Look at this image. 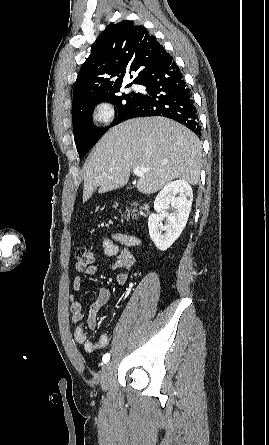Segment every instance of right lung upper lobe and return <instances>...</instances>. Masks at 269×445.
<instances>
[{
	"instance_id": "cb5924a9",
	"label": "right lung upper lobe",
	"mask_w": 269,
	"mask_h": 445,
	"mask_svg": "<svg viewBox=\"0 0 269 445\" xmlns=\"http://www.w3.org/2000/svg\"><path fill=\"white\" fill-rule=\"evenodd\" d=\"M169 56L145 27L129 20L109 25L78 74L73 107L119 89L126 72H137L133 83L138 84L146 72Z\"/></svg>"
}]
</instances>
